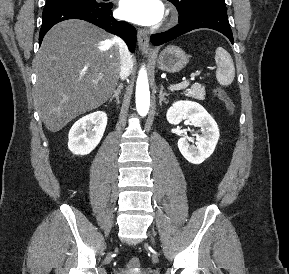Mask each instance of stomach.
I'll return each mask as SVG.
<instances>
[{
	"mask_svg": "<svg viewBox=\"0 0 289 274\" xmlns=\"http://www.w3.org/2000/svg\"><path fill=\"white\" fill-rule=\"evenodd\" d=\"M189 62V57L180 47L168 46L159 55L158 68L169 73L181 71Z\"/></svg>",
	"mask_w": 289,
	"mask_h": 274,
	"instance_id": "1",
	"label": "stomach"
}]
</instances>
